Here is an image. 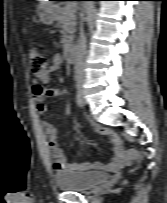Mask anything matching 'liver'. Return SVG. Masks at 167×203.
<instances>
[{"mask_svg":"<svg viewBox=\"0 0 167 203\" xmlns=\"http://www.w3.org/2000/svg\"><path fill=\"white\" fill-rule=\"evenodd\" d=\"M51 5H52L51 2H49V1H46V2L42 3V6H51Z\"/></svg>","mask_w":167,"mask_h":203,"instance_id":"1","label":"liver"}]
</instances>
